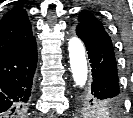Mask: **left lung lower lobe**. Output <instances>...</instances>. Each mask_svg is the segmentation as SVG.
<instances>
[{"instance_id":"1","label":"left lung lower lobe","mask_w":133,"mask_h":118,"mask_svg":"<svg viewBox=\"0 0 133 118\" xmlns=\"http://www.w3.org/2000/svg\"><path fill=\"white\" fill-rule=\"evenodd\" d=\"M77 36L84 42L92 68V83L87 88L96 101H121L117 63L109 36L84 26L76 27Z\"/></svg>"}]
</instances>
